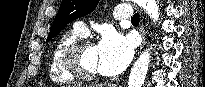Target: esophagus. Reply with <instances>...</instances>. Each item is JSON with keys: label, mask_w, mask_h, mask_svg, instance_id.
<instances>
[{"label": "esophagus", "mask_w": 205, "mask_h": 87, "mask_svg": "<svg viewBox=\"0 0 205 87\" xmlns=\"http://www.w3.org/2000/svg\"><path fill=\"white\" fill-rule=\"evenodd\" d=\"M140 33L142 35V44H141V47H140V50H141L143 48L145 42H146V31H145V28H144L143 24L140 27Z\"/></svg>", "instance_id": "1"}]
</instances>
